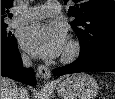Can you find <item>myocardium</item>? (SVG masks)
Listing matches in <instances>:
<instances>
[{"label": "myocardium", "instance_id": "f54148a6", "mask_svg": "<svg viewBox=\"0 0 115 99\" xmlns=\"http://www.w3.org/2000/svg\"><path fill=\"white\" fill-rule=\"evenodd\" d=\"M81 53V45L76 40H71L68 42L64 53L62 55V61L65 63H69L74 61L77 57H79Z\"/></svg>", "mask_w": 115, "mask_h": 99}]
</instances>
